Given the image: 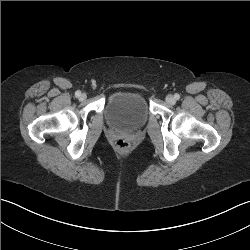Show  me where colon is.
<instances>
[{
    "instance_id": "5ec220e1",
    "label": "colon",
    "mask_w": 250,
    "mask_h": 250,
    "mask_svg": "<svg viewBox=\"0 0 250 250\" xmlns=\"http://www.w3.org/2000/svg\"><path fill=\"white\" fill-rule=\"evenodd\" d=\"M114 146L120 152H127L130 148V143L126 139L119 138L115 141Z\"/></svg>"
}]
</instances>
